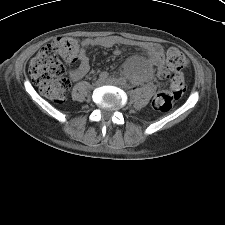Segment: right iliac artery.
Here are the masks:
<instances>
[{
    "label": "right iliac artery",
    "mask_w": 225,
    "mask_h": 225,
    "mask_svg": "<svg viewBox=\"0 0 225 225\" xmlns=\"http://www.w3.org/2000/svg\"><path fill=\"white\" fill-rule=\"evenodd\" d=\"M108 76H109V73L104 71L100 73L99 78L102 80H105L106 78H108Z\"/></svg>",
    "instance_id": "82829eb1"
}]
</instances>
